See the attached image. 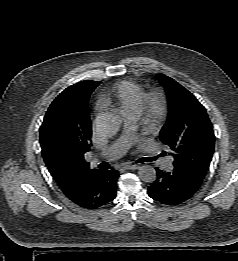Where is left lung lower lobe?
Masks as SVG:
<instances>
[{
  "label": "left lung lower lobe",
  "mask_w": 238,
  "mask_h": 261,
  "mask_svg": "<svg viewBox=\"0 0 238 261\" xmlns=\"http://www.w3.org/2000/svg\"><path fill=\"white\" fill-rule=\"evenodd\" d=\"M156 180L149 186L148 195L163 204L179 205L193 196L202 180L177 169L163 171L156 168Z\"/></svg>",
  "instance_id": "obj_1"
}]
</instances>
